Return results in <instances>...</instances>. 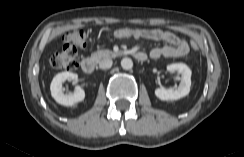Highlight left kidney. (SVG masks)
Listing matches in <instances>:
<instances>
[{
    "mask_svg": "<svg viewBox=\"0 0 244 157\" xmlns=\"http://www.w3.org/2000/svg\"><path fill=\"white\" fill-rule=\"evenodd\" d=\"M167 71H177L181 74V81L176 88H156L155 95L162 101L178 100L187 96L191 86V70L184 63H174L167 66Z\"/></svg>",
    "mask_w": 244,
    "mask_h": 157,
    "instance_id": "5707ae66",
    "label": "left kidney"
}]
</instances>
